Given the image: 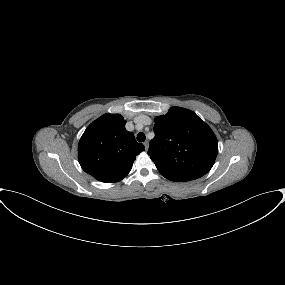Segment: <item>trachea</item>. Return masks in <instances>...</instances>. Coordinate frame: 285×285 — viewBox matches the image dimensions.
<instances>
[{
  "mask_svg": "<svg viewBox=\"0 0 285 285\" xmlns=\"http://www.w3.org/2000/svg\"><path fill=\"white\" fill-rule=\"evenodd\" d=\"M145 139H146V136H145V134H144L143 132H139V133L137 134V140H138L139 142H144Z\"/></svg>",
  "mask_w": 285,
  "mask_h": 285,
  "instance_id": "3493384b",
  "label": "trachea"
}]
</instances>
